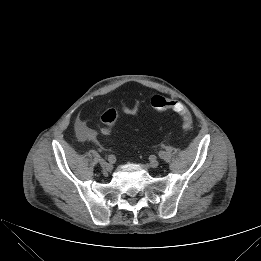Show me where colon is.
<instances>
[{"mask_svg": "<svg viewBox=\"0 0 261 261\" xmlns=\"http://www.w3.org/2000/svg\"><path fill=\"white\" fill-rule=\"evenodd\" d=\"M151 105L158 111H174L181 115L183 120V130L189 132L192 128V118L186 106L175 99L165 98L161 95H155L151 99ZM118 118V112L115 109L107 110L102 116L101 120L104 123L103 133L109 134L111 128Z\"/></svg>", "mask_w": 261, "mask_h": 261, "instance_id": "1", "label": "colon"}]
</instances>
